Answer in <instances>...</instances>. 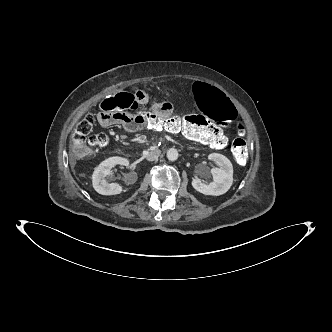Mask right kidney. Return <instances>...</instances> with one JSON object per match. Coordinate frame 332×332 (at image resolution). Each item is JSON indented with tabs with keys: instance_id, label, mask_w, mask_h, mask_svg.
Here are the masks:
<instances>
[{
	"instance_id": "right-kidney-1",
	"label": "right kidney",
	"mask_w": 332,
	"mask_h": 332,
	"mask_svg": "<svg viewBox=\"0 0 332 332\" xmlns=\"http://www.w3.org/2000/svg\"><path fill=\"white\" fill-rule=\"evenodd\" d=\"M129 161L125 158L113 156L101 162L95 168L92 175V184L95 191L101 195H116L122 192V187L118 183H108L107 175L116 165L128 166Z\"/></svg>"
}]
</instances>
